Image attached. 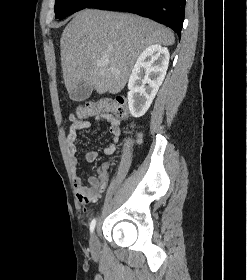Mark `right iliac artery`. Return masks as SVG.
Instances as JSON below:
<instances>
[{
	"label": "right iliac artery",
	"instance_id": "1",
	"mask_svg": "<svg viewBox=\"0 0 247 280\" xmlns=\"http://www.w3.org/2000/svg\"><path fill=\"white\" fill-rule=\"evenodd\" d=\"M96 225V219H93L90 223V232L93 233Z\"/></svg>",
	"mask_w": 247,
	"mask_h": 280
}]
</instances>
